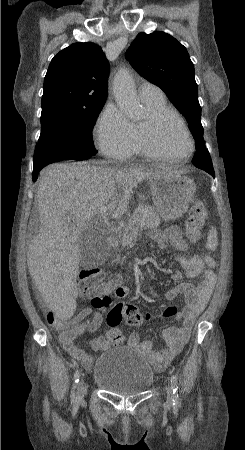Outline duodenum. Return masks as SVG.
Returning a JSON list of instances; mask_svg holds the SVG:
<instances>
[{
    "label": "duodenum",
    "mask_w": 245,
    "mask_h": 450,
    "mask_svg": "<svg viewBox=\"0 0 245 450\" xmlns=\"http://www.w3.org/2000/svg\"><path fill=\"white\" fill-rule=\"evenodd\" d=\"M108 246L111 250H117L120 246L118 239L114 237L108 238Z\"/></svg>",
    "instance_id": "410a0bca"
}]
</instances>
